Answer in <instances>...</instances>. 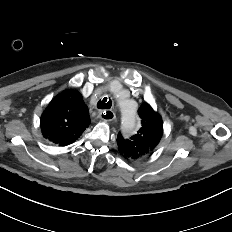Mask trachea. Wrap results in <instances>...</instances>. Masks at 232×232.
<instances>
[{
    "instance_id": "trachea-1",
    "label": "trachea",
    "mask_w": 232,
    "mask_h": 232,
    "mask_svg": "<svg viewBox=\"0 0 232 232\" xmlns=\"http://www.w3.org/2000/svg\"><path fill=\"white\" fill-rule=\"evenodd\" d=\"M112 106V101L107 97H104L102 100H99L97 103V108L99 109H110Z\"/></svg>"
}]
</instances>
